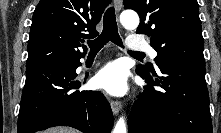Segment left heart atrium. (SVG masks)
<instances>
[{
  "instance_id": "obj_1",
  "label": "left heart atrium",
  "mask_w": 221,
  "mask_h": 133,
  "mask_svg": "<svg viewBox=\"0 0 221 133\" xmlns=\"http://www.w3.org/2000/svg\"><path fill=\"white\" fill-rule=\"evenodd\" d=\"M94 84L111 95H123L128 89L127 69L121 62H111L98 71Z\"/></svg>"
}]
</instances>
